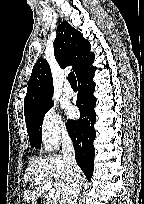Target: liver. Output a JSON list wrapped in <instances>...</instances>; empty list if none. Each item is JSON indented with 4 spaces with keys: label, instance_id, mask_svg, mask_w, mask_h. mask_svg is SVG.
<instances>
[{
    "label": "liver",
    "instance_id": "1",
    "mask_svg": "<svg viewBox=\"0 0 144 204\" xmlns=\"http://www.w3.org/2000/svg\"><path fill=\"white\" fill-rule=\"evenodd\" d=\"M41 177L40 182L36 183V187L32 190L24 189V200L29 204L34 202L44 192V181H50L53 189L59 191L61 198L64 197L68 189V176L66 172V164L62 156L55 155L44 159L32 161L24 174V186L33 182L35 178ZM83 180V176H82Z\"/></svg>",
    "mask_w": 144,
    "mask_h": 204
}]
</instances>
